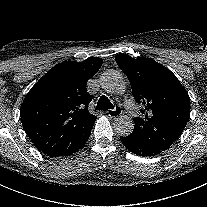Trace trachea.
Wrapping results in <instances>:
<instances>
[{"mask_svg":"<svg viewBox=\"0 0 207 207\" xmlns=\"http://www.w3.org/2000/svg\"><path fill=\"white\" fill-rule=\"evenodd\" d=\"M113 104L110 102V100L105 96L102 95L100 99L98 100V104L96 106V110H107L112 109Z\"/></svg>","mask_w":207,"mask_h":207,"instance_id":"obj_1","label":"trachea"}]
</instances>
